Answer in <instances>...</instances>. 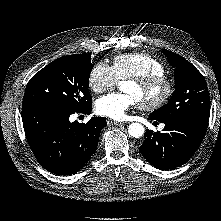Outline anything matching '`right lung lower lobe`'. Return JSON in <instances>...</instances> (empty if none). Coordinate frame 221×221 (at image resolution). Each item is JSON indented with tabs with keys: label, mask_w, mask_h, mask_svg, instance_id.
<instances>
[{
	"label": "right lung lower lobe",
	"mask_w": 221,
	"mask_h": 221,
	"mask_svg": "<svg viewBox=\"0 0 221 221\" xmlns=\"http://www.w3.org/2000/svg\"><path fill=\"white\" fill-rule=\"evenodd\" d=\"M92 106L82 112L90 113ZM72 111L41 105L22 108L27 141L38 162L48 171L70 175L80 170L95 152L100 132L106 126L103 117L86 124L70 122Z\"/></svg>",
	"instance_id": "98d812e1"
}]
</instances>
